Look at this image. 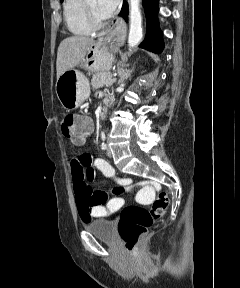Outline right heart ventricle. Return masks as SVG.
Returning <instances> with one entry per match:
<instances>
[{"instance_id":"right-heart-ventricle-1","label":"right heart ventricle","mask_w":240,"mask_h":288,"mask_svg":"<svg viewBox=\"0 0 240 288\" xmlns=\"http://www.w3.org/2000/svg\"><path fill=\"white\" fill-rule=\"evenodd\" d=\"M63 15L68 30L79 36L90 35L93 29L86 18L84 0H65Z\"/></svg>"}]
</instances>
